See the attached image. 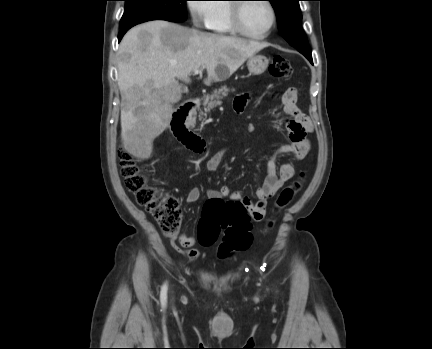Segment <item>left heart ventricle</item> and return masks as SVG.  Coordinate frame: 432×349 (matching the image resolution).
Listing matches in <instances>:
<instances>
[{
    "label": "left heart ventricle",
    "instance_id": "b2bd125f",
    "mask_svg": "<svg viewBox=\"0 0 432 349\" xmlns=\"http://www.w3.org/2000/svg\"><path fill=\"white\" fill-rule=\"evenodd\" d=\"M244 28L253 34L264 33L271 24V12L264 2L248 3L242 9Z\"/></svg>",
    "mask_w": 432,
    "mask_h": 349
}]
</instances>
